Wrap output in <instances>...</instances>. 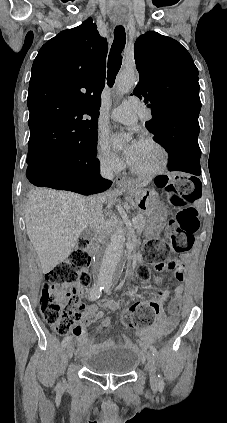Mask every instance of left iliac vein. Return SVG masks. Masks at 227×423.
I'll use <instances>...</instances> for the list:
<instances>
[{
	"label": "left iliac vein",
	"instance_id": "left-iliac-vein-1",
	"mask_svg": "<svg viewBox=\"0 0 227 423\" xmlns=\"http://www.w3.org/2000/svg\"><path fill=\"white\" fill-rule=\"evenodd\" d=\"M156 359L151 352H148V369H149V377H150V384L153 390H157L158 388V379L156 376V367H155Z\"/></svg>",
	"mask_w": 227,
	"mask_h": 423
}]
</instances>
